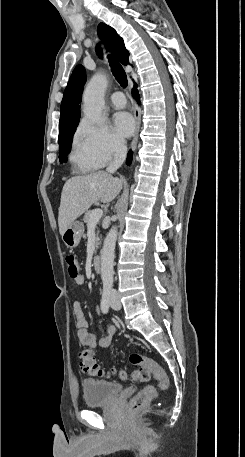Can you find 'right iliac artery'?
<instances>
[{"label": "right iliac artery", "mask_w": 245, "mask_h": 457, "mask_svg": "<svg viewBox=\"0 0 245 457\" xmlns=\"http://www.w3.org/2000/svg\"><path fill=\"white\" fill-rule=\"evenodd\" d=\"M110 298H111V288L105 287L102 292L101 299V310L103 313H107L110 307Z\"/></svg>", "instance_id": "obj_1"}]
</instances>
